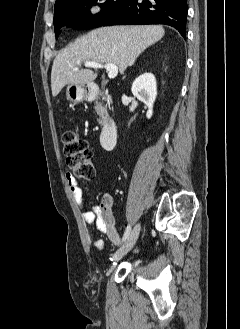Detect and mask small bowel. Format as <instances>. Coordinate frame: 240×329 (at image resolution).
Masks as SVG:
<instances>
[{"mask_svg":"<svg viewBox=\"0 0 240 329\" xmlns=\"http://www.w3.org/2000/svg\"><path fill=\"white\" fill-rule=\"evenodd\" d=\"M66 181L70 192L81 209L82 218L87 224H96L97 230L108 236L110 241L118 245L121 241L115 227V218L111 210V201L105 200L101 204L86 206L83 199V191L80 184L70 175L66 174ZM97 250L105 249V242L98 239L94 242Z\"/></svg>","mask_w":240,"mask_h":329,"instance_id":"small-bowel-1","label":"small bowel"}]
</instances>
